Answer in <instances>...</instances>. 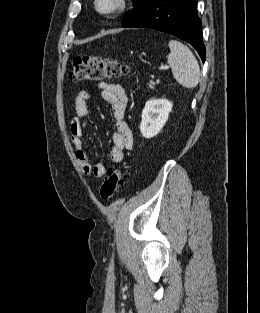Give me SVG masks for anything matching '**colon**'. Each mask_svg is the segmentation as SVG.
Instances as JSON below:
<instances>
[{
	"mask_svg": "<svg viewBox=\"0 0 260 313\" xmlns=\"http://www.w3.org/2000/svg\"><path fill=\"white\" fill-rule=\"evenodd\" d=\"M128 73L129 68L117 59L77 56L73 59L70 80L99 81L119 78ZM127 177L128 172L125 170H112L100 187V197L103 200H110Z\"/></svg>",
	"mask_w": 260,
	"mask_h": 313,
	"instance_id": "5ec220e1",
	"label": "colon"
}]
</instances>
